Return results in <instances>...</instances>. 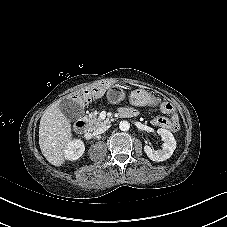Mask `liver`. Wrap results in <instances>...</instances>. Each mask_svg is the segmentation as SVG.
Listing matches in <instances>:
<instances>
[{
  "mask_svg": "<svg viewBox=\"0 0 227 227\" xmlns=\"http://www.w3.org/2000/svg\"><path fill=\"white\" fill-rule=\"evenodd\" d=\"M60 101L44 112L39 126V145L43 156L54 166L65 161L64 149L72 141L71 124L59 108Z\"/></svg>",
  "mask_w": 227,
  "mask_h": 227,
  "instance_id": "liver-1",
  "label": "liver"
}]
</instances>
